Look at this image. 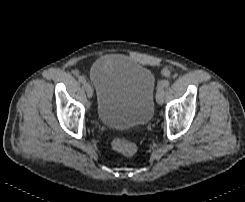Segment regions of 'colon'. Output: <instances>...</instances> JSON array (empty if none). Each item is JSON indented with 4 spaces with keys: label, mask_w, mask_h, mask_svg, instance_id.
<instances>
[{
    "label": "colon",
    "mask_w": 245,
    "mask_h": 202,
    "mask_svg": "<svg viewBox=\"0 0 245 202\" xmlns=\"http://www.w3.org/2000/svg\"><path fill=\"white\" fill-rule=\"evenodd\" d=\"M165 73H168V75H171V72L169 70H165ZM112 148L124 156H132L137 151V145L130 140L124 139V138H115L112 140Z\"/></svg>",
    "instance_id": "colon-1"
}]
</instances>
